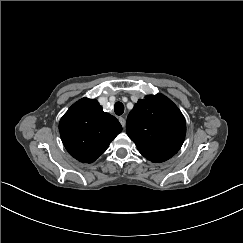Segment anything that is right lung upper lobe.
<instances>
[{"label":"right lung upper lobe","instance_id":"obj_1","mask_svg":"<svg viewBox=\"0 0 243 243\" xmlns=\"http://www.w3.org/2000/svg\"><path fill=\"white\" fill-rule=\"evenodd\" d=\"M59 130L67 151L78 161L92 163L122 131L119 121L95 99L82 98L61 118Z\"/></svg>","mask_w":243,"mask_h":243}]
</instances>
